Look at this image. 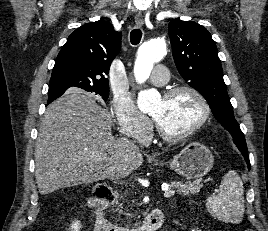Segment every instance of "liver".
Returning a JSON list of instances; mask_svg holds the SVG:
<instances>
[{
	"label": "liver",
	"mask_w": 268,
	"mask_h": 231,
	"mask_svg": "<svg viewBox=\"0 0 268 231\" xmlns=\"http://www.w3.org/2000/svg\"><path fill=\"white\" fill-rule=\"evenodd\" d=\"M110 113L80 90L51 103L35 147V178L40 194L60 188L125 177L143 156L127 138H114Z\"/></svg>",
	"instance_id": "liver-1"
}]
</instances>
